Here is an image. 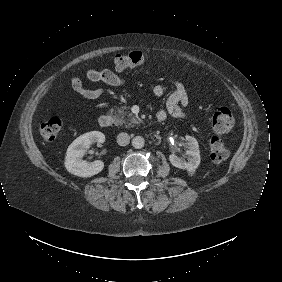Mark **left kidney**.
Listing matches in <instances>:
<instances>
[{
    "mask_svg": "<svg viewBox=\"0 0 282 282\" xmlns=\"http://www.w3.org/2000/svg\"><path fill=\"white\" fill-rule=\"evenodd\" d=\"M185 141V146L187 148L186 154L190 156L188 162L183 161L175 154H171L169 156V161L173 166L185 169L187 170L189 176H193L201 161L199 144L196 138L189 135L185 136Z\"/></svg>",
    "mask_w": 282,
    "mask_h": 282,
    "instance_id": "1",
    "label": "left kidney"
}]
</instances>
